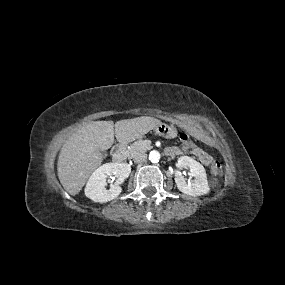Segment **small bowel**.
Masks as SVG:
<instances>
[{
  "instance_id": "obj_1",
  "label": "small bowel",
  "mask_w": 285,
  "mask_h": 285,
  "mask_svg": "<svg viewBox=\"0 0 285 285\" xmlns=\"http://www.w3.org/2000/svg\"><path fill=\"white\" fill-rule=\"evenodd\" d=\"M207 142L210 145H212V142L210 140H207ZM184 151H190L205 166L211 165L213 161L212 156L207 151H205L204 149L198 146H195L193 149H187L184 146L183 147L172 146V147L167 148L166 153L169 156H177L183 153Z\"/></svg>"
}]
</instances>
